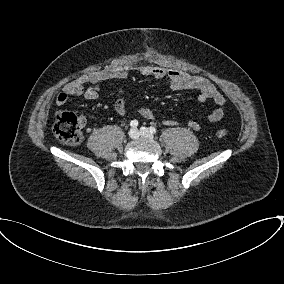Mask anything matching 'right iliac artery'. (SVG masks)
Instances as JSON below:
<instances>
[{
    "instance_id": "right-iliac-artery-1",
    "label": "right iliac artery",
    "mask_w": 284,
    "mask_h": 284,
    "mask_svg": "<svg viewBox=\"0 0 284 284\" xmlns=\"http://www.w3.org/2000/svg\"><path fill=\"white\" fill-rule=\"evenodd\" d=\"M130 126L133 127V128L137 127L138 126V121L137 120H132L130 122Z\"/></svg>"
}]
</instances>
